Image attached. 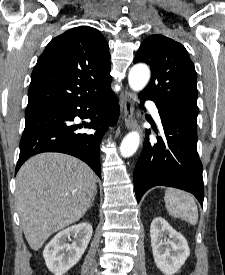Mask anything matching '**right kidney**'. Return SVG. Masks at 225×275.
<instances>
[{
    "instance_id": "1",
    "label": "right kidney",
    "mask_w": 225,
    "mask_h": 275,
    "mask_svg": "<svg viewBox=\"0 0 225 275\" xmlns=\"http://www.w3.org/2000/svg\"><path fill=\"white\" fill-rule=\"evenodd\" d=\"M92 226L87 222L62 230L46 245L45 263L54 275H63L81 259L92 236ZM74 239L72 244L67 240Z\"/></svg>"
}]
</instances>
